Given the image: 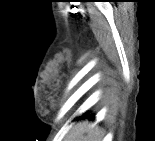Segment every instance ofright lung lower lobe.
Returning a JSON list of instances; mask_svg holds the SVG:
<instances>
[{
	"instance_id": "98d812e1",
	"label": "right lung lower lobe",
	"mask_w": 155,
	"mask_h": 141,
	"mask_svg": "<svg viewBox=\"0 0 155 141\" xmlns=\"http://www.w3.org/2000/svg\"><path fill=\"white\" fill-rule=\"evenodd\" d=\"M84 117H89V115L87 114V113H85V114H83L80 118H84ZM90 117H92L91 115H90ZM93 118V117H92Z\"/></svg>"
}]
</instances>
